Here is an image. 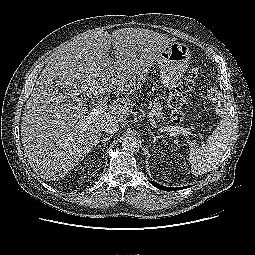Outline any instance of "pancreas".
I'll list each match as a JSON object with an SVG mask.
<instances>
[{"mask_svg": "<svg viewBox=\"0 0 255 255\" xmlns=\"http://www.w3.org/2000/svg\"><path fill=\"white\" fill-rule=\"evenodd\" d=\"M149 106L152 109V113L155 115L156 119L163 122L165 117L162 112V103L159 102L157 99H155L154 101L150 100Z\"/></svg>", "mask_w": 255, "mask_h": 255, "instance_id": "pancreas-1", "label": "pancreas"}]
</instances>
